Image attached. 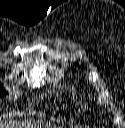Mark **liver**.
<instances>
[{"instance_id":"liver-1","label":"liver","mask_w":125,"mask_h":128,"mask_svg":"<svg viewBox=\"0 0 125 128\" xmlns=\"http://www.w3.org/2000/svg\"><path fill=\"white\" fill-rule=\"evenodd\" d=\"M48 127L47 128H55L54 126H51V125H47ZM2 127V126H1Z\"/></svg>"}]
</instances>
